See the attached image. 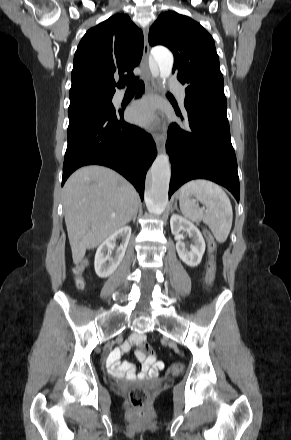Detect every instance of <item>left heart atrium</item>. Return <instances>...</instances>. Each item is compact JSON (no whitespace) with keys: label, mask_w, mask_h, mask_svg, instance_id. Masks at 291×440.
I'll return each instance as SVG.
<instances>
[{"label":"left heart atrium","mask_w":291,"mask_h":440,"mask_svg":"<svg viewBox=\"0 0 291 440\" xmlns=\"http://www.w3.org/2000/svg\"><path fill=\"white\" fill-rule=\"evenodd\" d=\"M128 117L134 123L147 125L153 119V105L149 101H140L129 109Z\"/></svg>","instance_id":"obj_1"}]
</instances>
